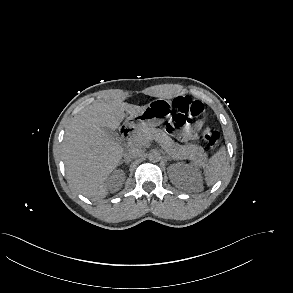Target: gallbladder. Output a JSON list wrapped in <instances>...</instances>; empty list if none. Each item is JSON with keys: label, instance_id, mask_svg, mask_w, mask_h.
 <instances>
[{"label": "gallbladder", "instance_id": "bac80fb5", "mask_svg": "<svg viewBox=\"0 0 293 293\" xmlns=\"http://www.w3.org/2000/svg\"><path fill=\"white\" fill-rule=\"evenodd\" d=\"M103 131H104L109 137H111L113 140H115V141H120V140H121L120 135H119L116 131H114V130H112V129H109V128H103Z\"/></svg>", "mask_w": 293, "mask_h": 293}]
</instances>
